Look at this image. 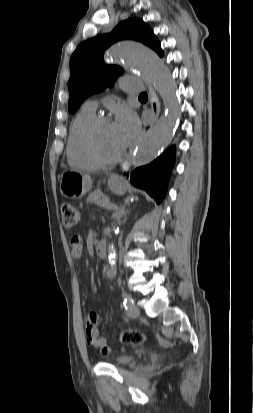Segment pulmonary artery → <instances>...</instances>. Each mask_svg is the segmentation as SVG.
Listing matches in <instances>:
<instances>
[{
	"label": "pulmonary artery",
	"mask_w": 253,
	"mask_h": 413,
	"mask_svg": "<svg viewBox=\"0 0 253 413\" xmlns=\"http://www.w3.org/2000/svg\"><path fill=\"white\" fill-rule=\"evenodd\" d=\"M123 89L129 92H140L143 90V87L140 83L131 84L128 82L123 86ZM84 108L95 112L97 109V102L94 100L86 101Z\"/></svg>",
	"instance_id": "obj_1"
}]
</instances>
